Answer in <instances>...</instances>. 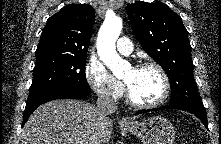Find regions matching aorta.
<instances>
[{"label": "aorta", "instance_id": "aorta-1", "mask_svg": "<svg viewBox=\"0 0 221 144\" xmlns=\"http://www.w3.org/2000/svg\"><path fill=\"white\" fill-rule=\"evenodd\" d=\"M122 20L117 16L106 17L97 37V52L102 62L116 77L124 75L130 64L123 60L116 51V40L122 30Z\"/></svg>", "mask_w": 221, "mask_h": 144}]
</instances>
